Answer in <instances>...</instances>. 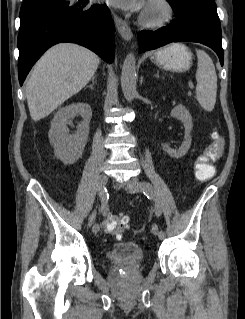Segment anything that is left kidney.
Returning <instances> with one entry per match:
<instances>
[{
    "label": "left kidney",
    "instance_id": "5707ae66",
    "mask_svg": "<svg viewBox=\"0 0 245 319\" xmlns=\"http://www.w3.org/2000/svg\"><path fill=\"white\" fill-rule=\"evenodd\" d=\"M170 114L171 117L176 118L183 123L185 127L184 141L178 150L170 148L167 144H165L163 147L170 157L181 158L188 152L191 146L190 133L193 128L192 117L186 107L181 104L172 109Z\"/></svg>",
    "mask_w": 245,
    "mask_h": 319
}]
</instances>
